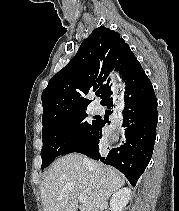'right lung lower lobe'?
Wrapping results in <instances>:
<instances>
[{
	"instance_id": "right-lung-lower-lobe-1",
	"label": "right lung lower lobe",
	"mask_w": 179,
	"mask_h": 211,
	"mask_svg": "<svg viewBox=\"0 0 179 211\" xmlns=\"http://www.w3.org/2000/svg\"><path fill=\"white\" fill-rule=\"evenodd\" d=\"M124 94L122 126L125 143L109 153H100L98 144L102 138V127L106 123L100 120L91 137L74 152L117 168L135 186L153 153L158 122L157 99L144 70L126 85ZM104 106L113 107L112 98Z\"/></svg>"
}]
</instances>
